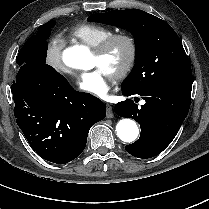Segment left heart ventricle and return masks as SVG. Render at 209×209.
<instances>
[{"instance_id": "left-heart-ventricle-1", "label": "left heart ventricle", "mask_w": 209, "mask_h": 209, "mask_svg": "<svg viewBox=\"0 0 209 209\" xmlns=\"http://www.w3.org/2000/svg\"><path fill=\"white\" fill-rule=\"evenodd\" d=\"M128 56V47L125 43H117L104 59L98 58L93 54L92 66L100 67L109 76H113L123 65Z\"/></svg>"}]
</instances>
